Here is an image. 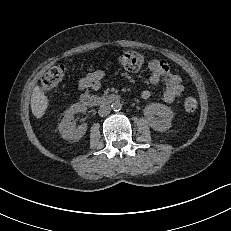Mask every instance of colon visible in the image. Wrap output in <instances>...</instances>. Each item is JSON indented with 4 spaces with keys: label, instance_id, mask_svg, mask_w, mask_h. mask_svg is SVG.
<instances>
[{
    "label": "colon",
    "instance_id": "5ec220e1",
    "mask_svg": "<svg viewBox=\"0 0 231 231\" xmlns=\"http://www.w3.org/2000/svg\"><path fill=\"white\" fill-rule=\"evenodd\" d=\"M118 65L130 72H136L144 67L145 57L135 51H127L121 54L117 59ZM66 68L63 65H57L50 69L42 78L41 87L45 92L56 88L65 78ZM198 107L197 100L194 97H187L184 101V108L187 112H194Z\"/></svg>",
    "mask_w": 231,
    "mask_h": 231
}]
</instances>
